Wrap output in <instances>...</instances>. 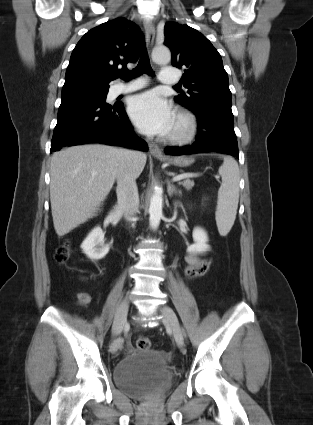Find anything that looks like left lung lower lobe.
<instances>
[{
    "label": "left lung lower lobe",
    "mask_w": 313,
    "mask_h": 425,
    "mask_svg": "<svg viewBox=\"0 0 313 425\" xmlns=\"http://www.w3.org/2000/svg\"><path fill=\"white\" fill-rule=\"evenodd\" d=\"M193 112L198 121L195 142L186 147H166L165 153L187 155L217 152L239 158L232 110L225 107L209 106Z\"/></svg>",
    "instance_id": "1"
}]
</instances>
